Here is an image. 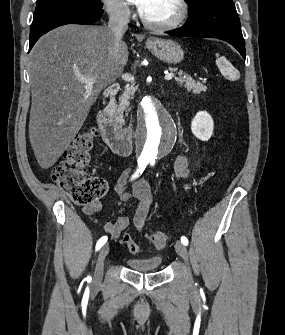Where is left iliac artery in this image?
Here are the masks:
<instances>
[{"mask_svg":"<svg viewBox=\"0 0 285 335\" xmlns=\"http://www.w3.org/2000/svg\"><path fill=\"white\" fill-rule=\"evenodd\" d=\"M154 163H155V160H150V164H151V165H154ZM181 242H182L185 246L188 245V239H187L185 236H182V237H181Z\"/></svg>","mask_w":285,"mask_h":335,"instance_id":"44dca946","label":"left iliac artery"}]
</instances>
